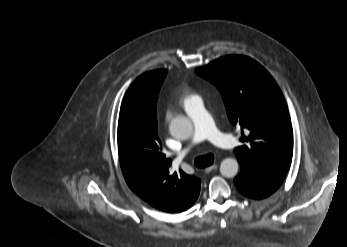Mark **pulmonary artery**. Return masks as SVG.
I'll list each match as a JSON object with an SVG mask.
<instances>
[{"mask_svg": "<svg viewBox=\"0 0 347 247\" xmlns=\"http://www.w3.org/2000/svg\"><path fill=\"white\" fill-rule=\"evenodd\" d=\"M185 110L194 124V134L192 143H200L209 140L215 145L223 148H231L235 145V141L231 136L221 133L215 126L210 114L207 112L203 100L195 96L185 104ZM185 148L180 152V157L187 153Z\"/></svg>", "mask_w": 347, "mask_h": 247, "instance_id": "obj_1", "label": "pulmonary artery"}]
</instances>
